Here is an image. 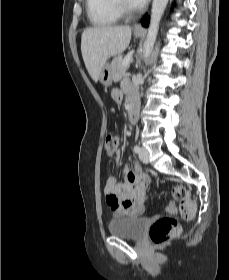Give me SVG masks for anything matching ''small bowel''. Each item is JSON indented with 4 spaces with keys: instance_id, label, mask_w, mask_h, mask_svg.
Instances as JSON below:
<instances>
[{
    "instance_id": "obj_1",
    "label": "small bowel",
    "mask_w": 229,
    "mask_h": 280,
    "mask_svg": "<svg viewBox=\"0 0 229 280\" xmlns=\"http://www.w3.org/2000/svg\"><path fill=\"white\" fill-rule=\"evenodd\" d=\"M123 90L127 93L135 91L129 83L123 85ZM112 98L116 101L123 99L121 90L112 91ZM114 160L117 166L121 163L119 151L114 154ZM126 183H118L114 175H109L106 179L104 193L106 201L113 210L115 218L124 216L140 217L145 213V196L147 182L143 178L141 165L135 163L134 170L126 168L124 170Z\"/></svg>"
}]
</instances>
